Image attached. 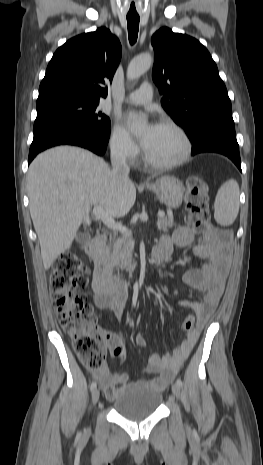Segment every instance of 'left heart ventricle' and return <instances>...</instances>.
<instances>
[{
    "label": "left heart ventricle",
    "mask_w": 263,
    "mask_h": 465,
    "mask_svg": "<svg viewBox=\"0 0 263 465\" xmlns=\"http://www.w3.org/2000/svg\"><path fill=\"white\" fill-rule=\"evenodd\" d=\"M184 144L180 135L173 129L158 126L145 147L148 154L157 161L167 162L180 157Z\"/></svg>",
    "instance_id": "obj_1"
}]
</instances>
